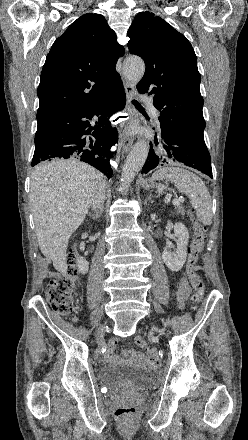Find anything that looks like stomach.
<instances>
[{
	"label": "stomach",
	"mask_w": 248,
	"mask_h": 440,
	"mask_svg": "<svg viewBox=\"0 0 248 440\" xmlns=\"http://www.w3.org/2000/svg\"><path fill=\"white\" fill-rule=\"evenodd\" d=\"M142 186H143L145 189H151V188H153L155 185H154V183H153L151 180H145V181L142 182Z\"/></svg>",
	"instance_id": "1"
}]
</instances>
